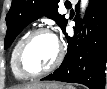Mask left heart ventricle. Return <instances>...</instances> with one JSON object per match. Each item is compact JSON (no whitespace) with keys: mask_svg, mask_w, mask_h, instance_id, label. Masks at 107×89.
Wrapping results in <instances>:
<instances>
[{"mask_svg":"<svg viewBox=\"0 0 107 89\" xmlns=\"http://www.w3.org/2000/svg\"><path fill=\"white\" fill-rule=\"evenodd\" d=\"M58 54V43L51 34L36 35L28 44L23 55V66L29 72L49 67Z\"/></svg>","mask_w":107,"mask_h":89,"instance_id":"1","label":"left heart ventricle"}]
</instances>
